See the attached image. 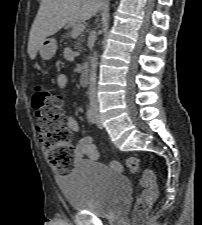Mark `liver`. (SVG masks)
I'll return each mask as SVG.
<instances>
[{
    "instance_id": "6515ba94",
    "label": "liver",
    "mask_w": 202,
    "mask_h": 225,
    "mask_svg": "<svg viewBox=\"0 0 202 225\" xmlns=\"http://www.w3.org/2000/svg\"><path fill=\"white\" fill-rule=\"evenodd\" d=\"M102 5V0H42L30 30L28 42L30 58L36 57L48 36L57 33L68 22L90 19Z\"/></svg>"
}]
</instances>
